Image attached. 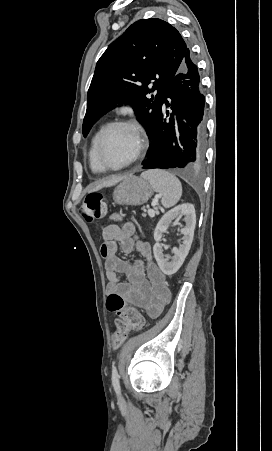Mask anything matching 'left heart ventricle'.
Segmentation results:
<instances>
[{"instance_id": "obj_1", "label": "left heart ventricle", "mask_w": 272, "mask_h": 451, "mask_svg": "<svg viewBox=\"0 0 272 451\" xmlns=\"http://www.w3.org/2000/svg\"><path fill=\"white\" fill-rule=\"evenodd\" d=\"M131 138L123 128L112 129L105 137L101 148V162L108 169L123 166L131 154Z\"/></svg>"}]
</instances>
